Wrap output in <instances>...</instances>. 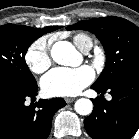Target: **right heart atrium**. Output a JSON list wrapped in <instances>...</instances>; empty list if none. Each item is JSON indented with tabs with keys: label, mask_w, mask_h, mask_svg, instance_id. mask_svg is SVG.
I'll return each instance as SVG.
<instances>
[{
	"label": "right heart atrium",
	"mask_w": 139,
	"mask_h": 139,
	"mask_svg": "<svg viewBox=\"0 0 139 139\" xmlns=\"http://www.w3.org/2000/svg\"><path fill=\"white\" fill-rule=\"evenodd\" d=\"M28 68L34 73H43L51 65L50 40L41 37L32 42L24 56Z\"/></svg>",
	"instance_id": "right-heart-atrium-1"
}]
</instances>
